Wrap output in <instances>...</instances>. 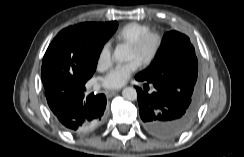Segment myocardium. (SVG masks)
<instances>
[{"label":"myocardium","mask_w":244,"mask_h":157,"mask_svg":"<svg viewBox=\"0 0 244 157\" xmlns=\"http://www.w3.org/2000/svg\"><path fill=\"white\" fill-rule=\"evenodd\" d=\"M149 41H153V48L151 51L140 61V64L147 66L153 63L156 58L158 57L163 43H164V36L160 32L150 31L142 36H140L137 40L129 45L134 51L142 50Z\"/></svg>","instance_id":"obj_1"}]
</instances>
